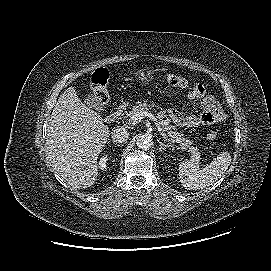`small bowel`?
Segmentation results:
<instances>
[{"instance_id": "obj_1", "label": "small bowel", "mask_w": 271, "mask_h": 271, "mask_svg": "<svg viewBox=\"0 0 271 271\" xmlns=\"http://www.w3.org/2000/svg\"><path fill=\"white\" fill-rule=\"evenodd\" d=\"M187 97L190 101H200L203 110L200 114L190 113L183 115L175 109L168 112L169 118L181 127L208 126L214 123L222 122L225 119V113L220 102L212 95L208 94L206 88L201 84H196L190 88Z\"/></svg>"}]
</instances>
